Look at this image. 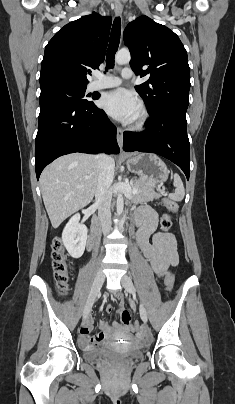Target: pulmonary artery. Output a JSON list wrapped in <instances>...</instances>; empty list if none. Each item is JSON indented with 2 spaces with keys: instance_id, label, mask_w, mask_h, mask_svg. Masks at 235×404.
I'll use <instances>...</instances> for the list:
<instances>
[{
  "instance_id": "obj_1",
  "label": "pulmonary artery",
  "mask_w": 235,
  "mask_h": 404,
  "mask_svg": "<svg viewBox=\"0 0 235 404\" xmlns=\"http://www.w3.org/2000/svg\"><path fill=\"white\" fill-rule=\"evenodd\" d=\"M133 77V71L130 68L122 70V78L130 79ZM122 79L115 76H102L100 73L95 74V80L91 83V90H99L104 88L117 87L121 84Z\"/></svg>"
}]
</instances>
